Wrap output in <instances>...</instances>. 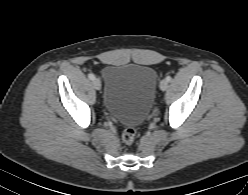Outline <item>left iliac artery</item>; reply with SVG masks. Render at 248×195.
Instances as JSON below:
<instances>
[{"label": "left iliac artery", "instance_id": "1", "mask_svg": "<svg viewBox=\"0 0 248 195\" xmlns=\"http://www.w3.org/2000/svg\"><path fill=\"white\" fill-rule=\"evenodd\" d=\"M171 79H172V78H171L170 76H167V77H166V80H167L168 82H170Z\"/></svg>", "mask_w": 248, "mask_h": 195}]
</instances>
